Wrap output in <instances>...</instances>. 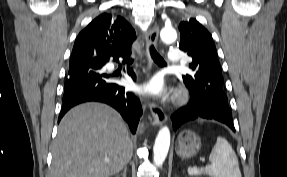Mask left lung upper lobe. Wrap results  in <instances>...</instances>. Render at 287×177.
I'll return each instance as SVG.
<instances>
[{
  "mask_svg": "<svg viewBox=\"0 0 287 177\" xmlns=\"http://www.w3.org/2000/svg\"><path fill=\"white\" fill-rule=\"evenodd\" d=\"M179 30V48L193 59L188 65L193 74L183 76L185 85L200 100L210 99V92L213 90L224 92V79L211 34L193 18L181 21Z\"/></svg>",
  "mask_w": 287,
  "mask_h": 177,
  "instance_id": "obj_1",
  "label": "left lung upper lobe"
}]
</instances>
